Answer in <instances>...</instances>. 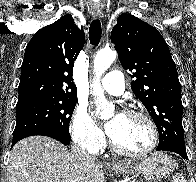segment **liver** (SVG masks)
I'll return each instance as SVG.
<instances>
[{"mask_svg": "<svg viewBox=\"0 0 196 182\" xmlns=\"http://www.w3.org/2000/svg\"><path fill=\"white\" fill-rule=\"evenodd\" d=\"M104 164L77 158L60 142L31 136L12 149L8 182H103Z\"/></svg>", "mask_w": 196, "mask_h": 182, "instance_id": "6515ba94", "label": "liver"}]
</instances>
